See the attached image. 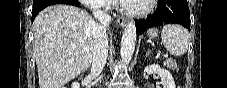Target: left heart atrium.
I'll list each match as a JSON object with an SVG mask.
<instances>
[{"instance_id":"1","label":"left heart atrium","mask_w":227,"mask_h":88,"mask_svg":"<svg viewBox=\"0 0 227 88\" xmlns=\"http://www.w3.org/2000/svg\"><path fill=\"white\" fill-rule=\"evenodd\" d=\"M117 2L123 7H127L129 5L135 4L137 0H118Z\"/></svg>"}]
</instances>
